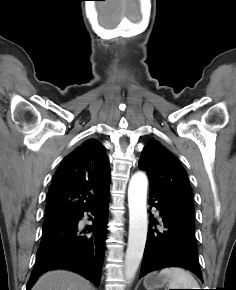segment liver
I'll use <instances>...</instances> for the list:
<instances>
[{
    "mask_svg": "<svg viewBox=\"0 0 236 290\" xmlns=\"http://www.w3.org/2000/svg\"><path fill=\"white\" fill-rule=\"evenodd\" d=\"M31 290H94L90 282L80 275L55 270L43 274Z\"/></svg>",
    "mask_w": 236,
    "mask_h": 290,
    "instance_id": "liver-1",
    "label": "liver"
}]
</instances>
